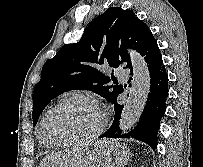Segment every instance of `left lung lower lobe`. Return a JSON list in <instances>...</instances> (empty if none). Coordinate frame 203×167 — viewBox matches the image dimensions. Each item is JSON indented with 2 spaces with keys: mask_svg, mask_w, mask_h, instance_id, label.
Segmentation results:
<instances>
[{
  "mask_svg": "<svg viewBox=\"0 0 203 167\" xmlns=\"http://www.w3.org/2000/svg\"><path fill=\"white\" fill-rule=\"evenodd\" d=\"M150 73V91L147 102L137 126L129 133L121 135L119 119L123 105L114 103L115 117L111 127L100 137L107 138H134L150 145L152 149L157 147V133L161 117L165 113L168 97V75L163 65L160 50L156 40H152L142 51ZM131 73H132V68Z\"/></svg>",
  "mask_w": 203,
  "mask_h": 167,
  "instance_id": "left-lung-lower-lobe-1",
  "label": "left lung lower lobe"
}]
</instances>
